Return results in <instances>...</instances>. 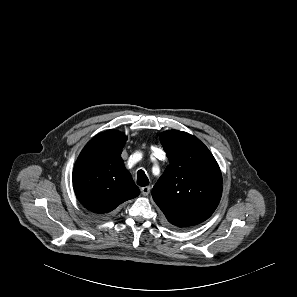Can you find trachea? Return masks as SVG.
I'll use <instances>...</instances> for the list:
<instances>
[{
    "label": "trachea",
    "mask_w": 297,
    "mask_h": 297,
    "mask_svg": "<svg viewBox=\"0 0 297 297\" xmlns=\"http://www.w3.org/2000/svg\"><path fill=\"white\" fill-rule=\"evenodd\" d=\"M137 184L140 186H147L149 184V180L143 170L137 172Z\"/></svg>",
    "instance_id": "obj_1"
}]
</instances>
